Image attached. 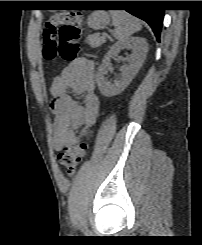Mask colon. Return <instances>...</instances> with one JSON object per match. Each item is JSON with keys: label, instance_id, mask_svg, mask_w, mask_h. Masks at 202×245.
I'll return each instance as SVG.
<instances>
[{"label": "colon", "instance_id": "obj_1", "mask_svg": "<svg viewBox=\"0 0 202 245\" xmlns=\"http://www.w3.org/2000/svg\"><path fill=\"white\" fill-rule=\"evenodd\" d=\"M83 20L73 13L50 15L44 23V59L52 61L56 57L72 62L81 52L79 41L82 35ZM87 140L65 147L59 154L60 164L67 175H73L81 163L86 151Z\"/></svg>", "mask_w": 202, "mask_h": 245}]
</instances>
